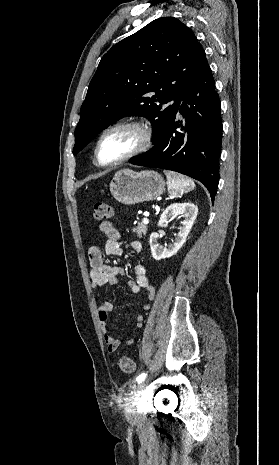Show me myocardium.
<instances>
[{
	"instance_id": "obj_1",
	"label": "myocardium",
	"mask_w": 279,
	"mask_h": 465,
	"mask_svg": "<svg viewBox=\"0 0 279 465\" xmlns=\"http://www.w3.org/2000/svg\"><path fill=\"white\" fill-rule=\"evenodd\" d=\"M121 128H133V129L138 130L140 132V134H141L140 144L133 151H131L130 153L126 154L125 156H123V157H121V158H119V159H117L115 161L108 162V163L102 162L100 160V157H99V149H100V145H101L102 140L109 133H111V132H113L115 130L121 129ZM153 141H154L153 130H152L151 126L147 122H145L143 120H128V121H123V122L116 123V124L106 128L102 132V134L99 136V138H98V140L96 142V145H95V149H94L95 161L99 166H102V167H111V166L119 165V164H121V163H123L125 161H128V160H130V159H132V158L146 152L147 150H149L150 147L153 144Z\"/></svg>"
}]
</instances>
